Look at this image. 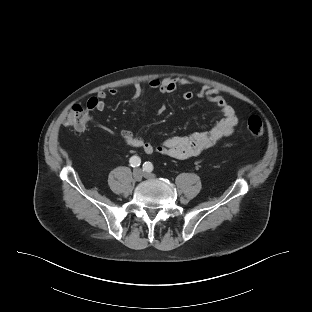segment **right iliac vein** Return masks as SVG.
<instances>
[{
    "instance_id": "obj_1",
    "label": "right iliac vein",
    "mask_w": 312,
    "mask_h": 312,
    "mask_svg": "<svg viewBox=\"0 0 312 312\" xmlns=\"http://www.w3.org/2000/svg\"><path fill=\"white\" fill-rule=\"evenodd\" d=\"M143 177V172L140 170V169H135L133 171V178L136 180V181H140Z\"/></svg>"
}]
</instances>
